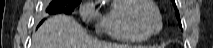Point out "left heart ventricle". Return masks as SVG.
Masks as SVG:
<instances>
[{"label":"left heart ventricle","instance_id":"left-heart-ventricle-1","mask_svg":"<svg viewBox=\"0 0 213 48\" xmlns=\"http://www.w3.org/2000/svg\"><path fill=\"white\" fill-rule=\"evenodd\" d=\"M132 15L136 25L143 33H152L158 28L157 15L151 6L138 4Z\"/></svg>","mask_w":213,"mask_h":48}]
</instances>
